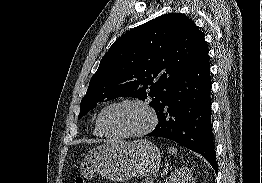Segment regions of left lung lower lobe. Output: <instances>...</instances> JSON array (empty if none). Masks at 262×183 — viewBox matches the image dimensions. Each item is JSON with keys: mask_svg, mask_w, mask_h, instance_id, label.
<instances>
[{"mask_svg": "<svg viewBox=\"0 0 262 183\" xmlns=\"http://www.w3.org/2000/svg\"><path fill=\"white\" fill-rule=\"evenodd\" d=\"M208 48L174 80L159 106L156 128L146 136L163 137L201 154L218 170L211 125Z\"/></svg>", "mask_w": 262, "mask_h": 183, "instance_id": "1", "label": "left lung lower lobe"}]
</instances>
